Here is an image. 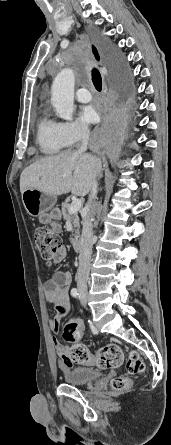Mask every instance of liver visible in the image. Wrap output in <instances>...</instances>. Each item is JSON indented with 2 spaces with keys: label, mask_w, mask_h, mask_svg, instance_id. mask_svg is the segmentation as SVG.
I'll return each instance as SVG.
<instances>
[{
  "label": "liver",
  "mask_w": 171,
  "mask_h": 445,
  "mask_svg": "<svg viewBox=\"0 0 171 445\" xmlns=\"http://www.w3.org/2000/svg\"><path fill=\"white\" fill-rule=\"evenodd\" d=\"M96 172L101 170L97 159ZM93 167L90 155L79 151H65L56 156L42 158L23 170L20 191L33 188L52 196L71 192L85 196L91 191Z\"/></svg>",
  "instance_id": "liver-1"
}]
</instances>
